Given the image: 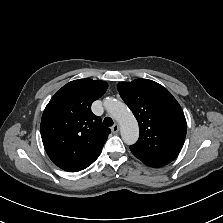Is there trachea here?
I'll list each match as a JSON object with an SVG mask.
<instances>
[{
  "label": "trachea",
  "mask_w": 223,
  "mask_h": 223,
  "mask_svg": "<svg viewBox=\"0 0 223 223\" xmlns=\"http://www.w3.org/2000/svg\"><path fill=\"white\" fill-rule=\"evenodd\" d=\"M104 125L107 126V127L112 126V125H113V120H112V118H110V117H106V118L104 119Z\"/></svg>",
  "instance_id": "3493384b"
}]
</instances>
